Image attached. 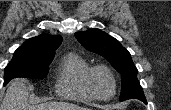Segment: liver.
<instances>
[{
    "mask_svg": "<svg viewBox=\"0 0 171 110\" xmlns=\"http://www.w3.org/2000/svg\"><path fill=\"white\" fill-rule=\"evenodd\" d=\"M27 80L16 78L10 82L0 110H86V108L65 102H46L39 105L28 103Z\"/></svg>",
    "mask_w": 171,
    "mask_h": 110,
    "instance_id": "liver-1",
    "label": "liver"
}]
</instances>
